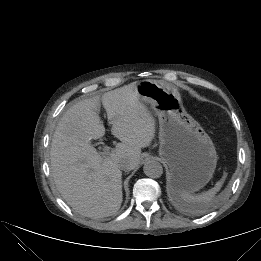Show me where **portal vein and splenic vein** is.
Masks as SVG:
<instances>
[{
    "instance_id": "portal-vein-and-splenic-vein-1",
    "label": "portal vein and splenic vein",
    "mask_w": 261,
    "mask_h": 261,
    "mask_svg": "<svg viewBox=\"0 0 261 261\" xmlns=\"http://www.w3.org/2000/svg\"><path fill=\"white\" fill-rule=\"evenodd\" d=\"M109 153H110L109 147H108V146H104V147H103V150H102V152H101V155H103V156H104V155L108 156Z\"/></svg>"
}]
</instances>
